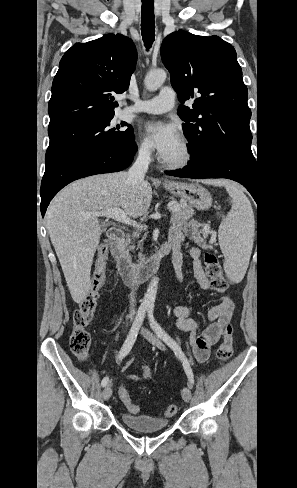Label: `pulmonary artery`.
I'll return each mask as SVG.
<instances>
[{"instance_id": "1", "label": "pulmonary artery", "mask_w": 297, "mask_h": 488, "mask_svg": "<svg viewBox=\"0 0 297 488\" xmlns=\"http://www.w3.org/2000/svg\"><path fill=\"white\" fill-rule=\"evenodd\" d=\"M175 103V92L171 87H164L160 94L154 98L140 100L135 105L127 108L125 113L144 112L161 114L172 109Z\"/></svg>"}]
</instances>
